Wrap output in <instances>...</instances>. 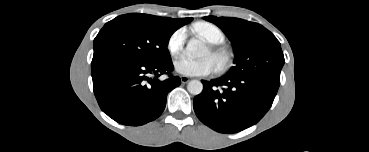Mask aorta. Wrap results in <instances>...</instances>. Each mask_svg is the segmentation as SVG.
<instances>
[{"mask_svg":"<svg viewBox=\"0 0 369 152\" xmlns=\"http://www.w3.org/2000/svg\"><path fill=\"white\" fill-rule=\"evenodd\" d=\"M186 50L192 57H201L206 53L207 47L202 40L192 38L187 43ZM187 90L192 95H199L203 90V84L199 80H191L187 85Z\"/></svg>","mask_w":369,"mask_h":152,"instance_id":"aorta-1","label":"aorta"}]
</instances>
